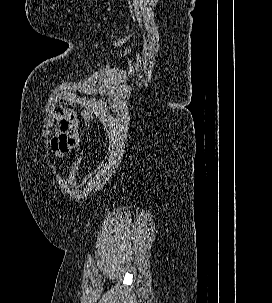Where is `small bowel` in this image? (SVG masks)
<instances>
[{
    "mask_svg": "<svg viewBox=\"0 0 272 303\" xmlns=\"http://www.w3.org/2000/svg\"><path fill=\"white\" fill-rule=\"evenodd\" d=\"M53 132L48 146L55 157H64L80 142L78 119L74 111L58 107L52 119Z\"/></svg>",
    "mask_w": 272,
    "mask_h": 303,
    "instance_id": "c3829d8e",
    "label": "small bowel"
}]
</instances>
